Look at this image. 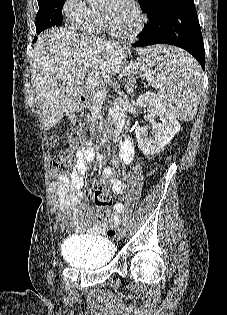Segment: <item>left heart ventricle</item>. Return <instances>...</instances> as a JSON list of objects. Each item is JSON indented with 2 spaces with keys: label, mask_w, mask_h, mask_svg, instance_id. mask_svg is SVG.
Instances as JSON below:
<instances>
[{
  "label": "left heart ventricle",
  "mask_w": 227,
  "mask_h": 315,
  "mask_svg": "<svg viewBox=\"0 0 227 315\" xmlns=\"http://www.w3.org/2000/svg\"><path fill=\"white\" fill-rule=\"evenodd\" d=\"M113 28L121 33H130L137 24V17L129 3H120L118 0H107L101 9Z\"/></svg>",
  "instance_id": "obj_1"
}]
</instances>
